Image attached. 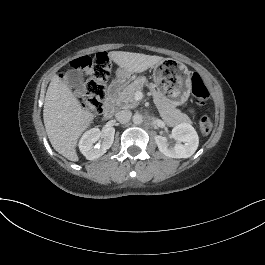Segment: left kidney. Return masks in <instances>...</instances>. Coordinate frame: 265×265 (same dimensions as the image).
<instances>
[{
  "label": "left kidney",
  "instance_id": "obj_1",
  "mask_svg": "<svg viewBox=\"0 0 265 265\" xmlns=\"http://www.w3.org/2000/svg\"><path fill=\"white\" fill-rule=\"evenodd\" d=\"M154 141L161 154L174 159L191 157L198 147V135L187 123L175 126L170 138L156 135Z\"/></svg>",
  "mask_w": 265,
  "mask_h": 265
}]
</instances>
